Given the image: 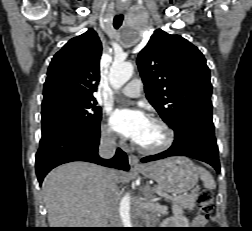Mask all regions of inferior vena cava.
I'll use <instances>...</instances> for the list:
<instances>
[{
    "instance_id": "inferior-vena-cava-1",
    "label": "inferior vena cava",
    "mask_w": 252,
    "mask_h": 231,
    "mask_svg": "<svg viewBox=\"0 0 252 231\" xmlns=\"http://www.w3.org/2000/svg\"><path fill=\"white\" fill-rule=\"evenodd\" d=\"M116 151V138L111 133H103L100 139L99 155L109 159L114 156ZM118 188L116 181L109 177L107 185L106 211L111 228H121L122 222L118 209Z\"/></svg>"
}]
</instances>
